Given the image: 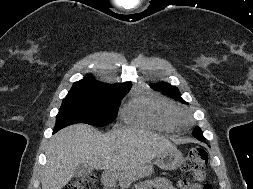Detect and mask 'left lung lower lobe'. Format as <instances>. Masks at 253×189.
<instances>
[{
	"label": "left lung lower lobe",
	"instance_id": "left-lung-lower-lobe-1",
	"mask_svg": "<svg viewBox=\"0 0 253 189\" xmlns=\"http://www.w3.org/2000/svg\"><path fill=\"white\" fill-rule=\"evenodd\" d=\"M193 136L196 137L198 140L205 142V139L203 137V135L201 134H197V133H193Z\"/></svg>",
	"mask_w": 253,
	"mask_h": 189
}]
</instances>
